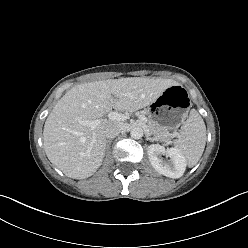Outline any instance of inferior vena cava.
Listing matches in <instances>:
<instances>
[{
    "label": "inferior vena cava",
    "instance_id": "obj_1",
    "mask_svg": "<svg viewBox=\"0 0 248 248\" xmlns=\"http://www.w3.org/2000/svg\"><path fill=\"white\" fill-rule=\"evenodd\" d=\"M121 130H122V127L120 124L110 125L104 131L105 137L107 139H112L116 137L121 132Z\"/></svg>",
    "mask_w": 248,
    "mask_h": 248
}]
</instances>
